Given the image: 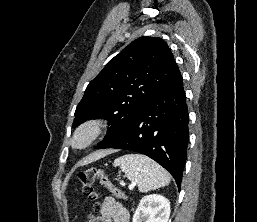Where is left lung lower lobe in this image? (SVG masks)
<instances>
[{
	"mask_svg": "<svg viewBox=\"0 0 257 222\" xmlns=\"http://www.w3.org/2000/svg\"><path fill=\"white\" fill-rule=\"evenodd\" d=\"M188 111L180 71L105 148L142 153L164 167L180 189L189 141Z\"/></svg>",
	"mask_w": 257,
	"mask_h": 222,
	"instance_id": "1",
	"label": "left lung lower lobe"
}]
</instances>
